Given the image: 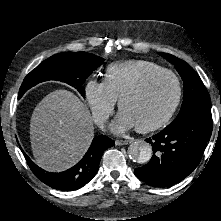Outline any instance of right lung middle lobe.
Here are the masks:
<instances>
[{
	"label": "right lung middle lobe",
	"instance_id": "right-lung-middle-lobe-1",
	"mask_svg": "<svg viewBox=\"0 0 221 221\" xmlns=\"http://www.w3.org/2000/svg\"><path fill=\"white\" fill-rule=\"evenodd\" d=\"M101 64H103L101 57L86 52H64L53 55L25 77L18 97L20 98L29 88L47 80L65 82L77 88L85 97L83 83Z\"/></svg>",
	"mask_w": 221,
	"mask_h": 221
}]
</instances>
